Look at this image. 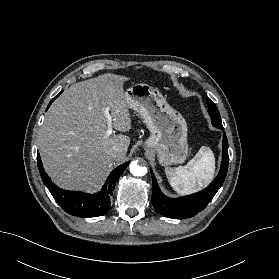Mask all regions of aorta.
I'll list each match as a JSON object with an SVG mask.
<instances>
[{
	"label": "aorta",
	"mask_w": 279,
	"mask_h": 279,
	"mask_svg": "<svg viewBox=\"0 0 279 279\" xmlns=\"http://www.w3.org/2000/svg\"><path fill=\"white\" fill-rule=\"evenodd\" d=\"M130 172L134 176H144L147 173V169H146V167H142V166L138 165L137 161H133L130 164Z\"/></svg>",
	"instance_id": "obj_1"
}]
</instances>
